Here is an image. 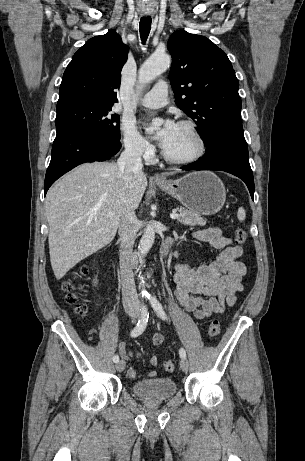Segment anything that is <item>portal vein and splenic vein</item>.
I'll use <instances>...</instances> for the list:
<instances>
[{
  "mask_svg": "<svg viewBox=\"0 0 305 461\" xmlns=\"http://www.w3.org/2000/svg\"><path fill=\"white\" fill-rule=\"evenodd\" d=\"M109 215H111V214L109 213ZM170 217H171L172 219H177V218L179 217V215H178L177 213H171V214H170Z\"/></svg>",
  "mask_w": 305,
  "mask_h": 461,
  "instance_id": "18ae733b",
  "label": "portal vein and splenic vein"
}]
</instances>
